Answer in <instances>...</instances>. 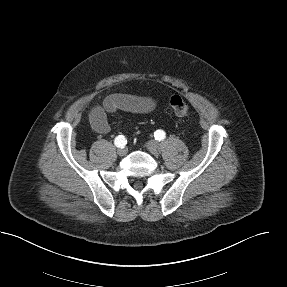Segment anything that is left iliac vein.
<instances>
[{
    "label": "left iliac vein",
    "instance_id": "obj_1",
    "mask_svg": "<svg viewBox=\"0 0 287 287\" xmlns=\"http://www.w3.org/2000/svg\"><path fill=\"white\" fill-rule=\"evenodd\" d=\"M146 148L150 153L153 155H159L160 153V145L157 141L155 140H150L146 143Z\"/></svg>",
    "mask_w": 287,
    "mask_h": 287
}]
</instances>
